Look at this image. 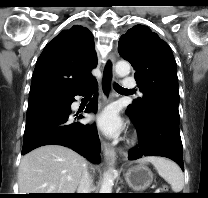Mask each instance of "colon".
Segmentation results:
<instances>
[{
  "instance_id": "obj_1",
  "label": "colon",
  "mask_w": 208,
  "mask_h": 198,
  "mask_svg": "<svg viewBox=\"0 0 208 198\" xmlns=\"http://www.w3.org/2000/svg\"><path fill=\"white\" fill-rule=\"evenodd\" d=\"M160 191L166 192L168 189L166 187L159 188Z\"/></svg>"
}]
</instances>
